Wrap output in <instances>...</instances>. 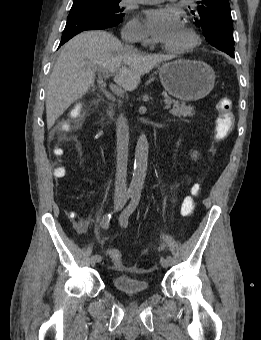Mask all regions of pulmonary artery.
<instances>
[{"label":"pulmonary artery","mask_w":261,"mask_h":340,"mask_svg":"<svg viewBox=\"0 0 261 340\" xmlns=\"http://www.w3.org/2000/svg\"><path fill=\"white\" fill-rule=\"evenodd\" d=\"M138 3H143V4H153V3H158L164 0H135Z\"/></svg>","instance_id":"1"}]
</instances>
